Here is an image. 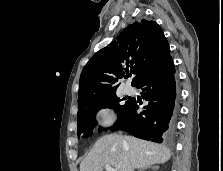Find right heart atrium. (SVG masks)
Listing matches in <instances>:
<instances>
[{
  "mask_svg": "<svg viewBox=\"0 0 223 171\" xmlns=\"http://www.w3.org/2000/svg\"><path fill=\"white\" fill-rule=\"evenodd\" d=\"M96 121L98 127L107 129L111 127L115 122V116L113 111L108 107H102L96 112Z\"/></svg>",
  "mask_w": 223,
  "mask_h": 171,
  "instance_id": "1",
  "label": "right heart atrium"
}]
</instances>
